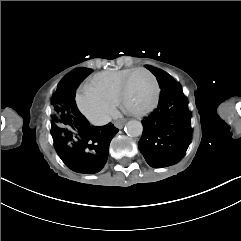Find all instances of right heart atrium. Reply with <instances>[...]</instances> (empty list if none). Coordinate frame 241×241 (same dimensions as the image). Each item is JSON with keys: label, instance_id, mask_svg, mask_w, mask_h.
Segmentation results:
<instances>
[{"label": "right heart atrium", "instance_id": "1", "mask_svg": "<svg viewBox=\"0 0 241 241\" xmlns=\"http://www.w3.org/2000/svg\"><path fill=\"white\" fill-rule=\"evenodd\" d=\"M75 102L81 113H86L89 120L101 127H106L114 115L112 97L102 93L96 85L86 84L78 88Z\"/></svg>", "mask_w": 241, "mask_h": 241}]
</instances>
